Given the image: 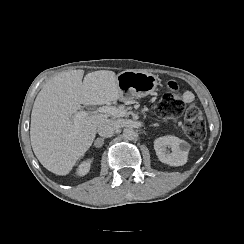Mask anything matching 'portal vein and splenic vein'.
Instances as JSON below:
<instances>
[{"instance_id": "portal-vein-and-splenic-vein-1", "label": "portal vein and splenic vein", "mask_w": 244, "mask_h": 244, "mask_svg": "<svg viewBox=\"0 0 244 244\" xmlns=\"http://www.w3.org/2000/svg\"><path fill=\"white\" fill-rule=\"evenodd\" d=\"M107 114L109 116H116V117H123L126 115V111L120 108H116L113 106H101L97 107L94 110H79L74 116V122H75V127H79V122L81 119H83L85 116H88L90 114Z\"/></svg>"}]
</instances>
